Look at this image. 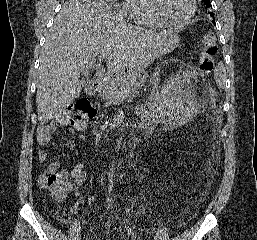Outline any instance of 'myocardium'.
<instances>
[{
    "label": "myocardium",
    "mask_w": 257,
    "mask_h": 240,
    "mask_svg": "<svg viewBox=\"0 0 257 240\" xmlns=\"http://www.w3.org/2000/svg\"><path fill=\"white\" fill-rule=\"evenodd\" d=\"M149 5H150L152 14L158 21H160L165 26H169V27H173V28H179V27H183V26L187 25L192 20V18L194 17V15L197 11L196 0H190V11L187 14V16L180 21H171V20L167 19L161 12V10L159 8V0H149Z\"/></svg>",
    "instance_id": "myocardium-1"
}]
</instances>
